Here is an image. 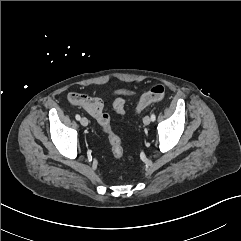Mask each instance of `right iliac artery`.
<instances>
[{
	"instance_id": "1",
	"label": "right iliac artery",
	"mask_w": 241,
	"mask_h": 241,
	"mask_svg": "<svg viewBox=\"0 0 241 241\" xmlns=\"http://www.w3.org/2000/svg\"><path fill=\"white\" fill-rule=\"evenodd\" d=\"M75 118H76V120L79 121L81 117H80V115L76 114Z\"/></svg>"
}]
</instances>
